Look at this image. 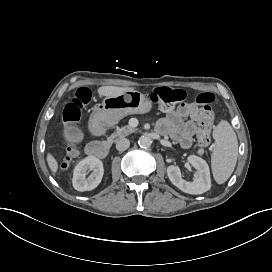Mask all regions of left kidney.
I'll use <instances>...</instances> for the list:
<instances>
[{
    "label": "left kidney",
    "mask_w": 272,
    "mask_h": 272,
    "mask_svg": "<svg viewBox=\"0 0 272 272\" xmlns=\"http://www.w3.org/2000/svg\"><path fill=\"white\" fill-rule=\"evenodd\" d=\"M188 159L197 170L194 173V180L191 182L184 180L180 170L175 166H170L167 169L170 181L181 191L189 194H201L210 190L211 174L208 163L197 155H190Z\"/></svg>",
    "instance_id": "1"
}]
</instances>
